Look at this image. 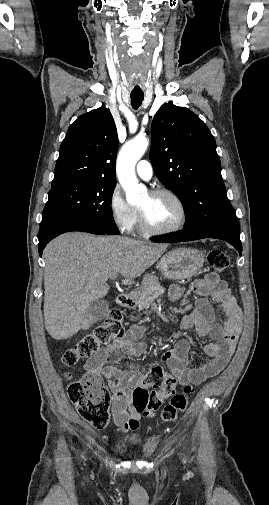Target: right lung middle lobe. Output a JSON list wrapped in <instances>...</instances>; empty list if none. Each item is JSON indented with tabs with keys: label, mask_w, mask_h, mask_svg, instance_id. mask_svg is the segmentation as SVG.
<instances>
[{
	"label": "right lung middle lobe",
	"mask_w": 269,
	"mask_h": 505,
	"mask_svg": "<svg viewBox=\"0 0 269 505\" xmlns=\"http://www.w3.org/2000/svg\"><path fill=\"white\" fill-rule=\"evenodd\" d=\"M114 182H77L52 187L40 226L54 220H69L119 234L111 213Z\"/></svg>",
	"instance_id": "obj_1"
}]
</instances>
